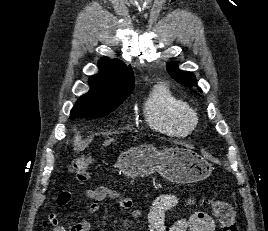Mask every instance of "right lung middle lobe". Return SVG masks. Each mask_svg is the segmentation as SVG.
Here are the masks:
<instances>
[{
	"mask_svg": "<svg viewBox=\"0 0 268 231\" xmlns=\"http://www.w3.org/2000/svg\"><path fill=\"white\" fill-rule=\"evenodd\" d=\"M123 102V101H122ZM122 102L118 103H91L78 104L71 110L70 119L102 117L115 110Z\"/></svg>",
	"mask_w": 268,
	"mask_h": 231,
	"instance_id": "dd1d6c3e",
	"label": "right lung middle lobe"
}]
</instances>
